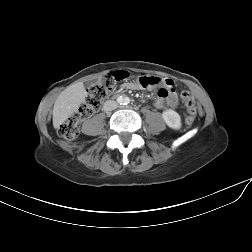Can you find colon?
I'll return each instance as SVG.
<instances>
[{"mask_svg": "<svg viewBox=\"0 0 252 252\" xmlns=\"http://www.w3.org/2000/svg\"><path fill=\"white\" fill-rule=\"evenodd\" d=\"M130 77L129 72L117 70L102 76L97 83L89 89L85 101L64 122L58 130L59 135L66 140H73L79 134L80 122L96 112L102 101L113 93L117 85L126 82ZM144 88H149L153 82L147 76H141L137 80ZM182 102L188 112L187 123H192L196 116V103L192 94L188 91L181 93Z\"/></svg>", "mask_w": 252, "mask_h": 252, "instance_id": "colon-1", "label": "colon"}]
</instances>
